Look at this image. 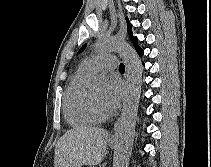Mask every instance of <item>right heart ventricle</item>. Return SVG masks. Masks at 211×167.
<instances>
[{
  "label": "right heart ventricle",
  "instance_id": "right-heart-ventricle-1",
  "mask_svg": "<svg viewBox=\"0 0 211 167\" xmlns=\"http://www.w3.org/2000/svg\"><path fill=\"white\" fill-rule=\"evenodd\" d=\"M92 72L80 66L72 76L63 100L66 121L74 127H89L96 123L87 106L86 81Z\"/></svg>",
  "mask_w": 211,
  "mask_h": 167
}]
</instances>
